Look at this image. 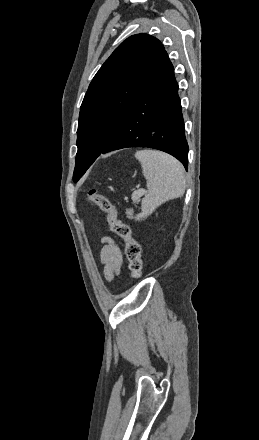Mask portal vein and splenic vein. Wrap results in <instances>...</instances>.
<instances>
[{"instance_id": "portal-vein-and-splenic-vein-1", "label": "portal vein and splenic vein", "mask_w": 259, "mask_h": 440, "mask_svg": "<svg viewBox=\"0 0 259 440\" xmlns=\"http://www.w3.org/2000/svg\"><path fill=\"white\" fill-rule=\"evenodd\" d=\"M146 193L145 189H140L139 191H136L132 194V200L136 201L138 200L141 196H143Z\"/></svg>"}]
</instances>
